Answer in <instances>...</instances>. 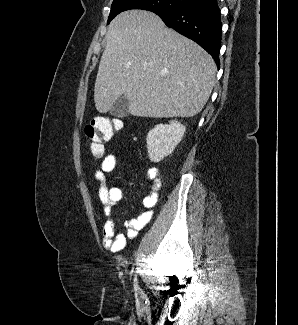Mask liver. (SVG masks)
<instances>
[{
  "instance_id": "1",
  "label": "liver",
  "mask_w": 298,
  "mask_h": 325,
  "mask_svg": "<svg viewBox=\"0 0 298 325\" xmlns=\"http://www.w3.org/2000/svg\"><path fill=\"white\" fill-rule=\"evenodd\" d=\"M94 102L108 112L119 96L134 116H195L215 84L217 66L199 44L149 10H124L106 34Z\"/></svg>"
}]
</instances>
